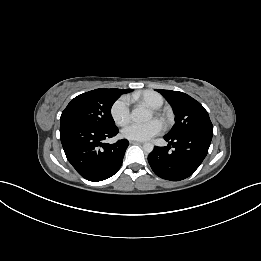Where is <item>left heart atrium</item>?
I'll list each match as a JSON object with an SVG mask.
<instances>
[{
	"instance_id": "39dd6f15",
	"label": "left heart atrium",
	"mask_w": 261,
	"mask_h": 261,
	"mask_svg": "<svg viewBox=\"0 0 261 261\" xmlns=\"http://www.w3.org/2000/svg\"><path fill=\"white\" fill-rule=\"evenodd\" d=\"M163 124L158 119H153L146 123L131 122L122 130V135L130 140L145 141L160 134Z\"/></svg>"
}]
</instances>
